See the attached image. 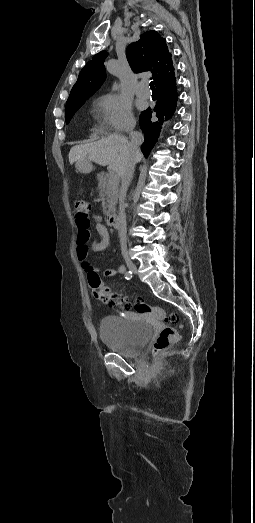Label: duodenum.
<instances>
[{"mask_svg":"<svg viewBox=\"0 0 255 523\" xmlns=\"http://www.w3.org/2000/svg\"><path fill=\"white\" fill-rule=\"evenodd\" d=\"M106 223L111 228H118L119 226V218L117 214H109L106 217Z\"/></svg>","mask_w":255,"mask_h":523,"instance_id":"obj_1","label":"duodenum"}]
</instances>
